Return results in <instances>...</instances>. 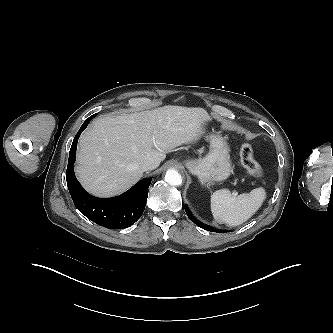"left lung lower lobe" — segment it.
I'll use <instances>...</instances> for the list:
<instances>
[{
  "mask_svg": "<svg viewBox=\"0 0 333 333\" xmlns=\"http://www.w3.org/2000/svg\"><path fill=\"white\" fill-rule=\"evenodd\" d=\"M185 211L188 215V217L191 219L192 222H194L196 225H198L199 227L205 229V230H208V231H211V232H215L217 231L215 228L213 227H210V226H207L203 223H201L200 221H198L196 218L193 217V215L190 213L189 209L186 207L185 208ZM218 232H222V233H226V232H229V231H226V230H218Z\"/></svg>",
  "mask_w": 333,
  "mask_h": 333,
  "instance_id": "0a47b994",
  "label": "left lung lower lobe"
}]
</instances>
